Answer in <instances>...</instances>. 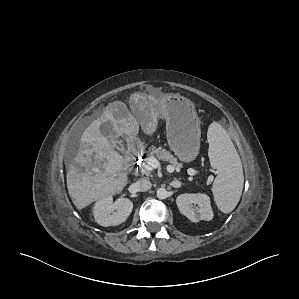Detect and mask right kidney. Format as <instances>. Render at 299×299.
Listing matches in <instances>:
<instances>
[{
	"label": "right kidney",
	"instance_id": "ca27d5eb",
	"mask_svg": "<svg viewBox=\"0 0 299 299\" xmlns=\"http://www.w3.org/2000/svg\"><path fill=\"white\" fill-rule=\"evenodd\" d=\"M132 209L133 203L129 199L121 197L113 202L112 196H107L95 203L93 215L101 226H117L126 221Z\"/></svg>",
	"mask_w": 299,
	"mask_h": 299
}]
</instances>
